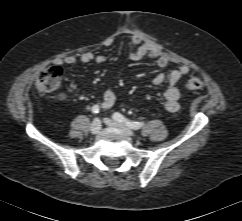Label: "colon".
Returning <instances> with one entry per match:
<instances>
[{
    "instance_id": "obj_1",
    "label": "colon",
    "mask_w": 242,
    "mask_h": 221,
    "mask_svg": "<svg viewBox=\"0 0 242 221\" xmlns=\"http://www.w3.org/2000/svg\"><path fill=\"white\" fill-rule=\"evenodd\" d=\"M62 76L63 71L59 66H52L41 71L36 80L38 92L45 94L55 91L61 83ZM202 85V80L196 76L189 78L186 83L187 88L191 90L200 89Z\"/></svg>"
}]
</instances>
